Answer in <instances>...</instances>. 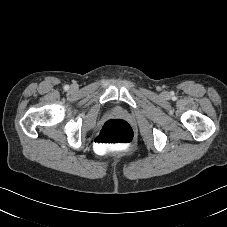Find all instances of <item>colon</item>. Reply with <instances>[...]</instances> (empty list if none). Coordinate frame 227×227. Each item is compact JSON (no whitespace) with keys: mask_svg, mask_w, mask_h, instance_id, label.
I'll use <instances>...</instances> for the list:
<instances>
[{"mask_svg":"<svg viewBox=\"0 0 227 227\" xmlns=\"http://www.w3.org/2000/svg\"><path fill=\"white\" fill-rule=\"evenodd\" d=\"M97 140L102 143L129 144L133 140V131L127 122L113 119L104 123Z\"/></svg>","mask_w":227,"mask_h":227,"instance_id":"obj_1","label":"colon"}]
</instances>
